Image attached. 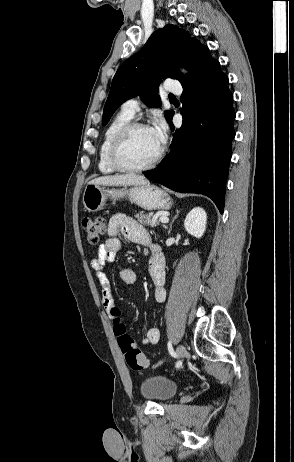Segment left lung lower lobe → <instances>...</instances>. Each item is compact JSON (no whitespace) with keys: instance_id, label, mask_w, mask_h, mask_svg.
<instances>
[{"instance_id":"1","label":"left lung lower lobe","mask_w":294,"mask_h":462,"mask_svg":"<svg viewBox=\"0 0 294 462\" xmlns=\"http://www.w3.org/2000/svg\"><path fill=\"white\" fill-rule=\"evenodd\" d=\"M189 81L182 83L183 123L172 139L168 156L149 179L177 192L210 197L223 213L225 185L235 137L233 95L219 61L212 59ZM170 126L174 129L171 120Z\"/></svg>"}]
</instances>
